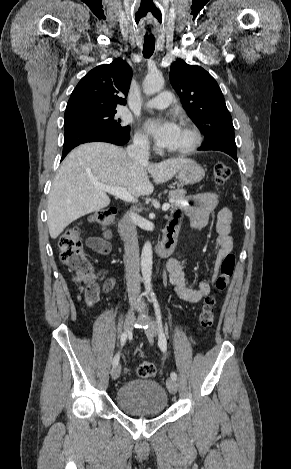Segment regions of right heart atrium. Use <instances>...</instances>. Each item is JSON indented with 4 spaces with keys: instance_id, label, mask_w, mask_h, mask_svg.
<instances>
[{
    "instance_id": "right-heart-atrium-1",
    "label": "right heart atrium",
    "mask_w": 291,
    "mask_h": 469,
    "mask_svg": "<svg viewBox=\"0 0 291 469\" xmlns=\"http://www.w3.org/2000/svg\"><path fill=\"white\" fill-rule=\"evenodd\" d=\"M134 145L140 150H148L150 148L147 136L140 131H137L134 135Z\"/></svg>"
}]
</instances>
